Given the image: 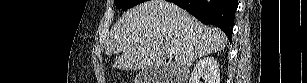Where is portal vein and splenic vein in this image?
<instances>
[{
	"instance_id": "1",
	"label": "portal vein and splenic vein",
	"mask_w": 307,
	"mask_h": 83,
	"mask_svg": "<svg viewBox=\"0 0 307 83\" xmlns=\"http://www.w3.org/2000/svg\"><path fill=\"white\" fill-rule=\"evenodd\" d=\"M175 53H176V50H174V49H169V50H168V54H169L170 56L174 55Z\"/></svg>"
}]
</instances>
